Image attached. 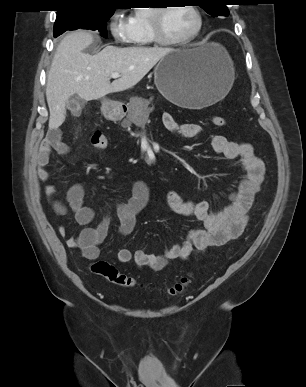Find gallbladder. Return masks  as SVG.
I'll use <instances>...</instances> for the list:
<instances>
[{
    "mask_svg": "<svg viewBox=\"0 0 306 387\" xmlns=\"http://www.w3.org/2000/svg\"><path fill=\"white\" fill-rule=\"evenodd\" d=\"M85 104V101L81 99L78 96L70 97L68 101L66 102V107L71 111V112H76L80 105Z\"/></svg>",
    "mask_w": 306,
    "mask_h": 387,
    "instance_id": "bac80fb5",
    "label": "gallbladder"
}]
</instances>
